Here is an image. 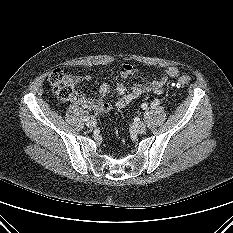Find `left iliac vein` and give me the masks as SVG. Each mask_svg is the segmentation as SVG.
<instances>
[{
    "label": "left iliac vein",
    "mask_w": 233,
    "mask_h": 233,
    "mask_svg": "<svg viewBox=\"0 0 233 233\" xmlns=\"http://www.w3.org/2000/svg\"><path fill=\"white\" fill-rule=\"evenodd\" d=\"M132 129L138 133V134H142L146 131V125L143 122H137L132 126Z\"/></svg>",
    "instance_id": "1"
}]
</instances>
